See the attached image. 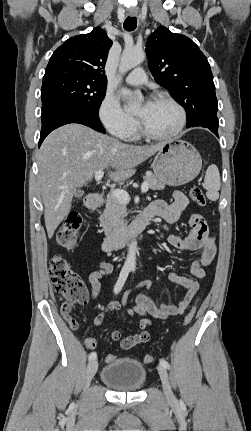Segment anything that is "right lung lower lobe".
<instances>
[{"instance_id":"obj_1","label":"right lung lower lobe","mask_w":251,"mask_h":431,"mask_svg":"<svg viewBox=\"0 0 251 431\" xmlns=\"http://www.w3.org/2000/svg\"><path fill=\"white\" fill-rule=\"evenodd\" d=\"M42 129L39 146L45 137L54 129L69 123H79L98 132L105 133L99 116L70 106H56L41 114Z\"/></svg>"}]
</instances>
